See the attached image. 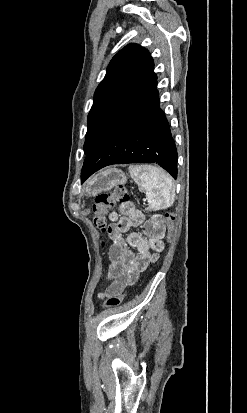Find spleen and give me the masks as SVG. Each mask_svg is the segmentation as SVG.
<instances>
[{"mask_svg": "<svg viewBox=\"0 0 247 413\" xmlns=\"http://www.w3.org/2000/svg\"><path fill=\"white\" fill-rule=\"evenodd\" d=\"M130 176L137 182L140 190L146 192L150 209H167L174 202L175 188L172 176L163 168L152 166L146 168L145 164H130Z\"/></svg>", "mask_w": 247, "mask_h": 413, "instance_id": "1", "label": "spleen"}]
</instances>
